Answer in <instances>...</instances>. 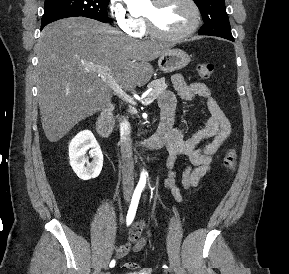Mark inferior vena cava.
Returning <instances> with one entry per match:
<instances>
[{
    "mask_svg": "<svg viewBox=\"0 0 289 274\" xmlns=\"http://www.w3.org/2000/svg\"><path fill=\"white\" fill-rule=\"evenodd\" d=\"M130 130L129 123L123 122L120 124V142L122 144V183L124 195L130 196L134 188V162L130 147Z\"/></svg>",
    "mask_w": 289,
    "mask_h": 274,
    "instance_id": "inferior-vena-cava-1",
    "label": "inferior vena cava"
}]
</instances>
